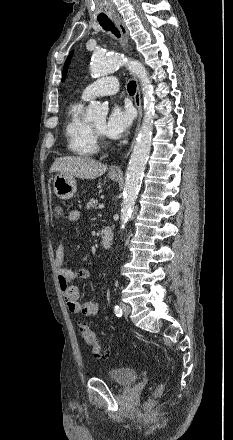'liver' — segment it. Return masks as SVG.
<instances>
[{"instance_id": "1", "label": "liver", "mask_w": 233, "mask_h": 440, "mask_svg": "<svg viewBox=\"0 0 233 440\" xmlns=\"http://www.w3.org/2000/svg\"><path fill=\"white\" fill-rule=\"evenodd\" d=\"M107 168V165L88 157H60L52 164L50 173L59 172L80 179H95L103 175Z\"/></svg>"}]
</instances>
